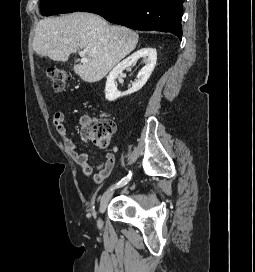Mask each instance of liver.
<instances>
[{"label": "liver", "mask_w": 255, "mask_h": 272, "mask_svg": "<svg viewBox=\"0 0 255 272\" xmlns=\"http://www.w3.org/2000/svg\"><path fill=\"white\" fill-rule=\"evenodd\" d=\"M138 39L136 32L110 25L99 15L75 12L40 20L33 49L40 56L63 62L78 49L86 50L88 62L74 65V71L85 82L94 83L133 51Z\"/></svg>", "instance_id": "1"}]
</instances>
